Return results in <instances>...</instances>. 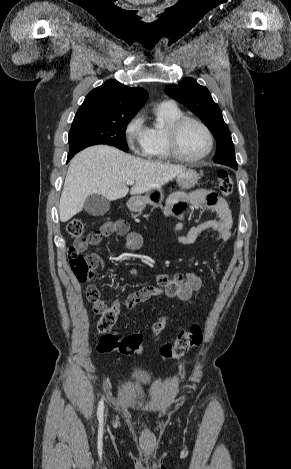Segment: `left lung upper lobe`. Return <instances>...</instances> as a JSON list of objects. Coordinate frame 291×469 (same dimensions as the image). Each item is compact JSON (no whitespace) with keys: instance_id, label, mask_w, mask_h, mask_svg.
<instances>
[{"instance_id":"1","label":"left lung upper lobe","mask_w":291,"mask_h":469,"mask_svg":"<svg viewBox=\"0 0 291 469\" xmlns=\"http://www.w3.org/2000/svg\"><path fill=\"white\" fill-rule=\"evenodd\" d=\"M165 91L168 96L194 112L212 132L217 142L214 162L237 169L234 145L229 128L224 122L219 106L213 101L208 89L189 77L177 85L166 86Z\"/></svg>"}]
</instances>
